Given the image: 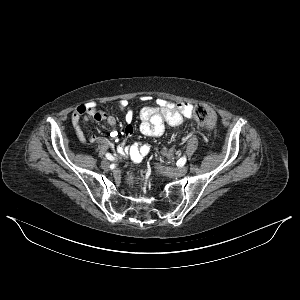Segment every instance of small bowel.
<instances>
[{
    "label": "small bowel",
    "mask_w": 300,
    "mask_h": 300,
    "mask_svg": "<svg viewBox=\"0 0 300 300\" xmlns=\"http://www.w3.org/2000/svg\"><path fill=\"white\" fill-rule=\"evenodd\" d=\"M146 100V99H143ZM120 110L124 114L126 126L123 135L129 137L133 134V110L129 102L122 99L118 102ZM193 106L190 103H173L164 99H157L155 106H147L140 110L139 113V131L148 137H157L164 133L166 124L177 126L183 123L184 119L192 116ZM94 119L98 122H106L109 126L116 125L117 120L113 115L107 114L97 109L94 103H87L78 106L72 113V125L75 134L82 143L101 142L102 138L95 135L86 136L81 128V121ZM118 133L113 131L112 138H117ZM150 147L147 144L133 143L126 146L124 143L118 146V152L123 156H129L134 162H140L148 153Z\"/></svg>",
    "instance_id": "obj_1"
}]
</instances>
